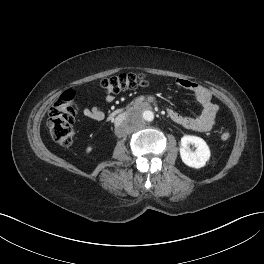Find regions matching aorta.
<instances>
[{"mask_svg":"<svg viewBox=\"0 0 264 264\" xmlns=\"http://www.w3.org/2000/svg\"><path fill=\"white\" fill-rule=\"evenodd\" d=\"M143 121L151 122L154 119V113L151 110H144L139 113Z\"/></svg>","mask_w":264,"mask_h":264,"instance_id":"1","label":"aorta"}]
</instances>
